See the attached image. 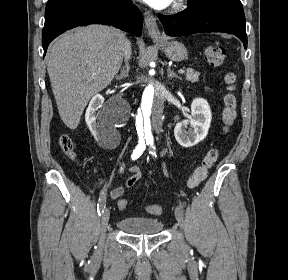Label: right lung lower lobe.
I'll list each match as a JSON object with an SVG mask.
<instances>
[{"instance_id":"right-lung-lower-lobe-1","label":"right lung lower lobe","mask_w":288,"mask_h":280,"mask_svg":"<svg viewBox=\"0 0 288 280\" xmlns=\"http://www.w3.org/2000/svg\"><path fill=\"white\" fill-rule=\"evenodd\" d=\"M142 22L131 0H49L42 32L44 56L49 43L71 28L105 24L140 36Z\"/></svg>"}]
</instances>
